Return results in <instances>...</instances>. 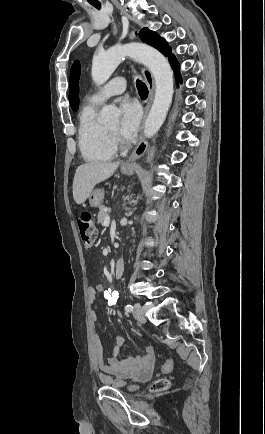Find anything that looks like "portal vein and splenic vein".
I'll return each mask as SVG.
<instances>
[{"label":"portal vein and splenic vein","instance_id":"obj_1","mask_svg":"<svg viewBox=\"0 0 265 434\" xmlns=\"http://www.w3.org/2000/svg\"><path fill=\"white\" fill-rule=\"evenodd\" d=\"M109 224H110V218L109 216H107L106 220H104L103 226H109Z\"/></svg>","mask_w":265,"mask_h":434}]
</instances>
